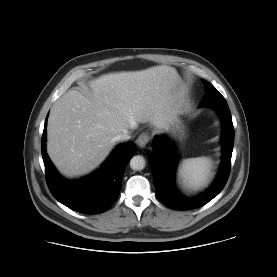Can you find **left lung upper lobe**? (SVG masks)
Returning <instances> with one entry per match:
<instances>
[{"mask_svg": "<svg viewBox=\"0 0 277 277\" xmlns=\"http://www.w3.org/2000/svg\"><path fill=\"white\" fill-rule=\"evenodd\" d=\"M205 86V95L202 98L199 107L209 105L218 101H226L225 98L207 81H203Z\"/></svg>", "mask_w": 277, "mask_h": 277, "instance_id": "left-lung-upper-lobe-1", "label": "left lung upper lobe"}]
</instances>
